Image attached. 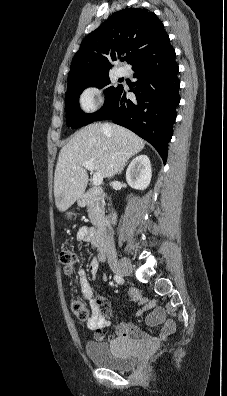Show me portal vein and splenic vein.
<instances>
[{"mask_svg": "<svg viewBox=\"0 0 227 396\" xmlns=\"http://www.w3.org/2000/svg\"><path fill=\"white\" fill-rule=\"evenodd\" d=\"M83 167L86 168L89 171H93L94 170V164L92 162H89V161L84 162L83 163ZM102 181H103L102 175L100 173H94L93 179H92L93 185L94 186H99L102 183Z\"/></svg>", "mask_w": 227, "mask_h": 396, "instance_id": "18ae733b", "label": "portal vein and splenic vein"}]
</instances>
